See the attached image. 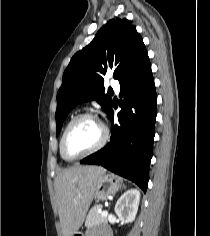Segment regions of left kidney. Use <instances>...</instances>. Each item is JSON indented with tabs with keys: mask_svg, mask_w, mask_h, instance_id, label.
<instances>
[{
	"mask_svg": "<svg viewBox=\"0 0 210 236\" xmlns=\"http://www.w3.org/2000/svg\"><path fill=\"white\" fill-rule=\"evenodd\" d=\"M140 202V192L137 189L127 190L117 201L115 213L118 218L129 223L134 221Z\"/></svg>",
	"mask_w": 210,
	"mask_h": 236,
	"instance_id": "obj_1",
	"label": "left kidney"
}]
</instances>
